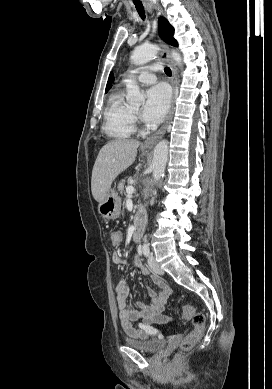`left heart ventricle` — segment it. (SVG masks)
Returning a JSON list of instances; mask_svg holds the SVG:
<instances>
[{
	"instance_id": "1",
	"label": "left heart ventricle",
	"mask_w": 272,
	"mask_h": 389,
	"mask_svg": "<svg viewBox=\"0 0 272 389\" xmlns=\"http://www.w3.org/2000/svg\"><path fill=\"white\" fill-rule=\"evenodd\" d=\"M135 111H137V112H138V111H139V109H135Z\"/></svg>"
}]
</instances>
